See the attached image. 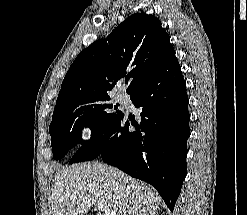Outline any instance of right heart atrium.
<instances>
[{
    "label": "right heart atrium",
    "instance_id": "1",
    "mask_svg": "<svg viewBox=\"0 0 247 215\" xmlns=\"http://www.w3.org/2000/svg\"><path fill=\"white\" fill-rule=\"evenodd\" d=\"M79 131L85 138H92L96 130L89 121L85 120L80 124Z\"/></svg>",
    "mask_w": 247,
    "mask_h": 215
}]
</instances>
